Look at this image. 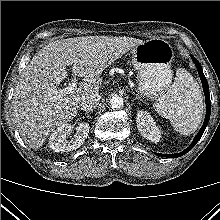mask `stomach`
Masks as SVG:
<instances>
[{"label": "stomach", "mask_w": 220, "mask_h": 220, "mask_svg": "<svg viewBox=\"0 0 220 220\" xmlns=\"http://www.w3.org/2000/svg\"><path fill=\"white\" fill-rule=\"evenodd\" d=\"M130 53L132 65L138 71V93L151 100L160 98L172 83V46L163 39H150L132 48Z\"/></svg>", "instance_id": "obj_1"}]
</instances>
